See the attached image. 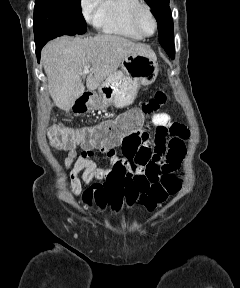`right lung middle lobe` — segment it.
I'll list each match as a JSON object with an SVG mask.
<instances>
[{
    "mask_svg": "<svg viewBox=\"0 0 240 288\" xmlns=\"http://www.w3.org/2000/svg\"><path fill=\"white\" fill-rule=\"evenodd\" d=\"M81 0H36L34 36L36 46L62 35L84 34Z\"/></svg>",
    "mask_w": 240,
    "mask_h": 288,
    "instance_id": "dd1d6c3e",
    "label": "right lung middle lobe"
}]
</instances>
